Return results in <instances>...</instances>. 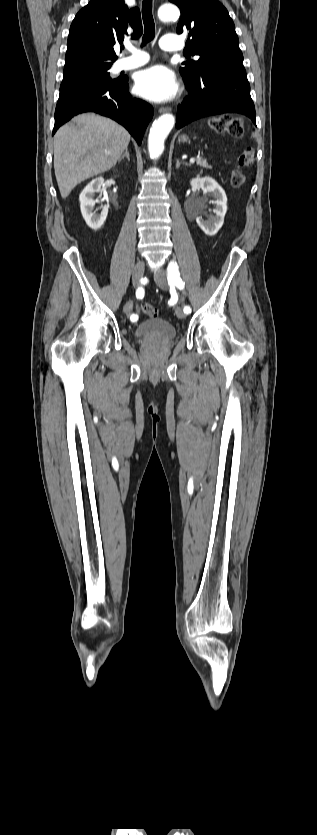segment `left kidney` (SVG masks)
<instances>
[{"label":"left kidney","mask_w":317,"mask_h":835,"mask_svg":"<svg viewBox=\"0 0 317 835\" xmlns=\"http://www.w3.org/2000/svg\"><path fill=\"white\" fill-rule=\"evenodd\" d=\"M193 189L201 188L203 191L210 193L214 198L210 203L215 204L213 209L214 216H211L208 221H204L202 217H196L198 226L209 236L215 235L222 227L224 217L227 212V196L223 188L211 177L194 178L190 182Z\"/></svg>","instance_id":"obj_1"}]
</instances>
